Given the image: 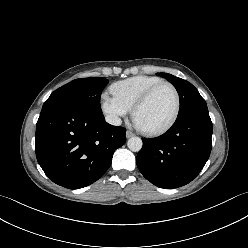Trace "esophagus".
Listing matches in <instances>:
<instances>
[{
	"instance_id": "obj_1",
	"label": "esophagus",
	"mask_w": 248,
	"mask_h": 248,
	"mask_svg": "<svg viewBox=\"0 0 248 248\" xmlns=\"http://www.w3.org/2000/svg\"><path fill=\"white\" fill-rule=\"evenodd\" d=\"M133 135H134V134H133L131 131H129V130L126 132V137H127V138H130V137H132Z\"/></svg>"
}]
</instances>
